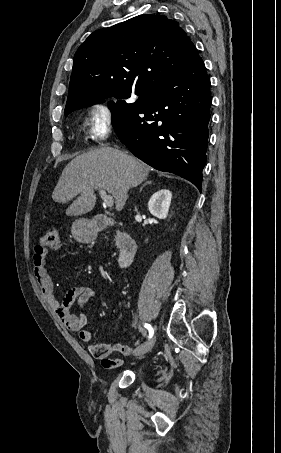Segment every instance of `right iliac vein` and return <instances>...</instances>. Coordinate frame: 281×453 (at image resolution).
Instances as JSON below:
<instances>
[{"label": "right iliac vein", "instance_id": "obj_1", "mask_svg": "<svg viewBox=\"0 0 281 453\" xmlns=\"http://www.w3.org/2000/svg\"><path fill=\"white\" fill-rule=\"evenodd\" d=\"M155 343L154 339H151L150 341H145L143 345H140L139 348L135 349V355L137 357H140V355H145V352H149V350H152L154 348Z\"/></svg>", "mask_w": 281, "mask_h": 453}]
</instances>
